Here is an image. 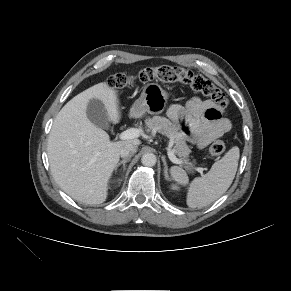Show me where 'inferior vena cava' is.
Returning <instances> with one entry per match:
<instances>
[{"instance_id": "602c4592", "label": "inferior vena cava", "mask_w": 291, "mask_h": 291, "mask_svg": "<svg viewBox=\"0 0 291 291\" xmlns=\"http://www.w3.org/2000/svg\"><path fill=\"white\" fill-rule=\"evenodd\" d=\"M137 149H138L137 145L127 144L121 149L120 155L124 159L130 158L137 152Z\"/></svg>"}]
</instances>
